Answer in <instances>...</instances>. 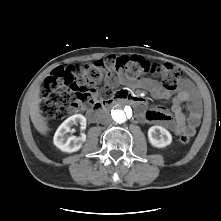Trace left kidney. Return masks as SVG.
<instances>
[{
  "label": "left kidney",
  "mask_w": 221,
  "mask_h": 221,
  "mask_svg": "<svg viewBox=\"0 0 221 221\" xmlns=\"http://www.w3.org/2000/svg\"><path fill=\"white\" fill-rule=\"evenodd\" d=\"M149 142L157 148H163L172 142L170 132L161 126H152L148 130Z\"/></svg>",
  "instance_id": "5707ae66"
}]
</instances>
